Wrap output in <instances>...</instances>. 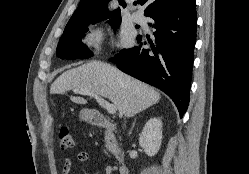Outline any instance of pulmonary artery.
Returning <instances> with one entry per match:
<instances>
[{
  "label": "pulmonary artery",
  "instance_id": "obj_1",
  "mask_svg": "<svg viewBox=\"0 0 249 174\" xmlns=\"http://www.w3.org/2000/svg\"><path fill=\"white\" fill-rule=\"evenodd\" d=\"M131 17H132V20L134 22H137V23H144L145 22L144 16L140 13L134 12L131 14Z\"/></svg>",
  "mask_w": 249,
  "mask_h": 174
}]
</instances>
